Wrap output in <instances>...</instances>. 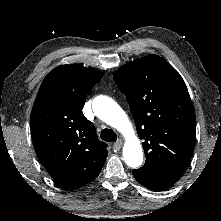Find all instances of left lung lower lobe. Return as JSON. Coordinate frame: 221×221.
I'll return each mask as SVG.
<instances>
[{
	"mask_svg": "<svg viewBox=\"0 0 221 221\" xmlns=\"http://www.w3.org/2000/svg\"><path fill=\"white\" fill-rule=\"evenodd\" d=\"M137 181L153 191H162L176 183V181Z\"/></svg>",
	"mask_w": 221,
	"mask_h": 221,
	"instance_id": "1",
	"label": "left lung lower lobe"
}]
</instances>
